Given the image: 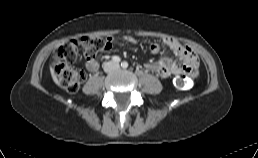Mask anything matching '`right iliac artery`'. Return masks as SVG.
Listing matches in <instances>:
<instances>
[{"instance_id":"82829eb1","label":"right iliac artery","mask_w":258,"mask_h":158,"mask_svg":"<svg viewBox=\"0 0 258 158\" xmlns=\"http://www.w3.org/2000/svg\"><path fill=\"white\" fill-rule=\"evenodd\" d=\"M112 61L115 63H119L121 61V59L118 56H113Z\"/></svg>"}]
</instances>
